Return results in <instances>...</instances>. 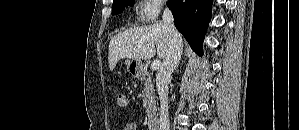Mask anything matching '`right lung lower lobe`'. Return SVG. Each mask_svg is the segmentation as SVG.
I'll list each match as a JSON object with an SVG mask.
<instances>
[{"label": "right lung lower lobe", "instance_id": "obj_1", "mask_svg": "<svg viewBox=\"0 0 299 130\" xmlns=\"http://www.w3.org/2000/svg\"><path fill=\"white\" fill-rule=\"evenodd\" d=\"M213 0H168L175 26L191 48L202 56V44L211 19Z\"/></svg>", "mask_w": 299, "mask_h": 130}]
</instances>
